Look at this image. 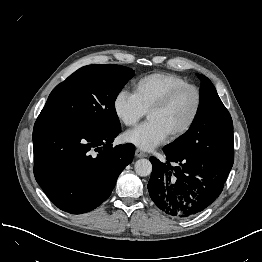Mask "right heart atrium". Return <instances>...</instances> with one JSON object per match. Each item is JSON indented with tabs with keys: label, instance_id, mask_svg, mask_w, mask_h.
Returning a JSON list of instances; mask_svg holds the SVG:
<instances>
[{
	"label": "right heart atrium",
	"instance_id": "1",
	"mask_svg": "<svg viewBox=\"0 0 262 262\" xmlns=\"http://www.w3.org/2000/svg\"><path fill=\"white\" fill-rule=\"evenodd\" d=\"M113 109L118 120L125 126H134L146 113L134 93L124 89L116 94Z\"/></svg>",
	"mask_w": 262,
	"mask_h": 262
}]
</instances>
